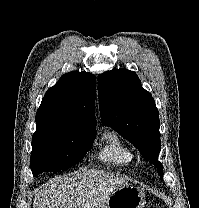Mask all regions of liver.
Returning <instances> with one entry per match:
<instances>
[{
  "mask_svg": "<svg viewBox=\"0 0 199 208\" xmlns=\"http://www.w3.org/2000/svg\"><path fill=\"white\" fill-rule=\"evenodd\" d=\"M125 185L126 179L103 170L81 169L37 188L33 208H96Z\"/></svg>",
  "mask_w": 199,
  "mask_h": 208,
  "instance_id": "1",
  "label": "liver"
}]
</instances>
